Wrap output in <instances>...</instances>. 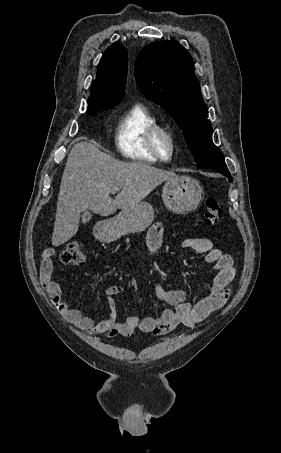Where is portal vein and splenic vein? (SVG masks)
Here are the masks:
<instances>
[{
  "label": "portal vein and splenic vein",
  "mask_w": 281,
  "mask_h": 453,
  "mask_svg": "<svg viewBox=\"0 0 281 453\" xmlns=\"http://www.w3.org/2000/svg\"><path fill=\"white\" fill-rule=\"evenodd\" d=\"M113 192H116V190H119L118 186H112Z\"/></svg>",
  "instance_id": "1"
}]
</instances>
